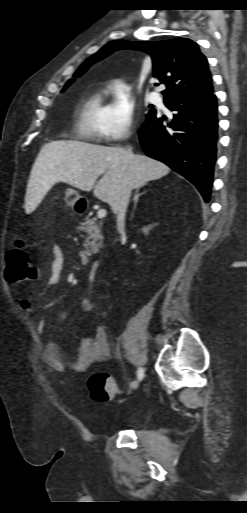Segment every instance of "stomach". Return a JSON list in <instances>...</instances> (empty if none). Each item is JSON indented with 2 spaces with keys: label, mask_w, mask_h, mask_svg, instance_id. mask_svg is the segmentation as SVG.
Instances as JSON below:
<instances>
[{
  "label": "stomach",
  "mask_w": 247,
  "mask_h": 513,
  "mask_svg": "<svg viewBox=\"0 0 247 513\" xmlns=\"http://www.w3.org/2000/svg\"><path fill=\"white\" fill-rule=\"evenodd\" d=\"M83 199L76 190L69 188L66 191V203L74 208V210L77 212V203Z\"/></svg>",
  "instance_id": "1"
}]
</instances>
